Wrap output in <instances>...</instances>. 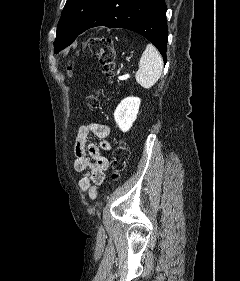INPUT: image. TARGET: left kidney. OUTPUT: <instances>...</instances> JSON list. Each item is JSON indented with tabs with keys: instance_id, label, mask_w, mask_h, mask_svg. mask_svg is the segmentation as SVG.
I'll list each match as a JSON object with an SVG mask.
<instances>
[{
	"instance_id": "obj_1",
	"label": "left kidney",
	"mask_w": 240,
	"mask_h": 281,
	"mask_svg": "<svg viewBox=\"0 0 240 281\" xmlns=\"http://www.w3.org/2000/svg\"><path fill=\"white\" fill-rule=\"evenodd\" d=\"M140 102L138 97H127L117 106L114 119L121 131L127 132L132 127L137 118Z\"/></svg>"
}]
</instances>
